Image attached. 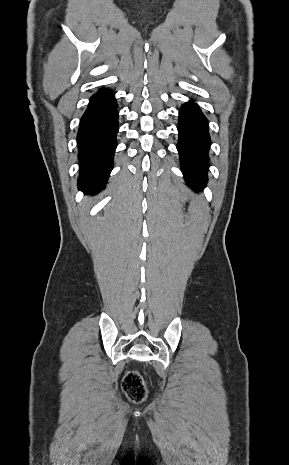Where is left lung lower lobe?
Returning <instances> with one entry per match:
<instances>
[{"label": "left lung lower lobe", "mask_w": 289, "mask_h": 465, "mask_svg": "<svg viewBox=\"0 0 289 465\" xmlns=\"http://www.w3.org/2000/svg\"><path fill=\"white\" fill-rule=\"evenodd\" d=\"M178 132L177 150L186 182L193 190H202L207 182L210 137L207 120L194 102L180 109Z\"/></svg>", "instance_id": "left-lung-lower-lobe-1"}]
</instances>
